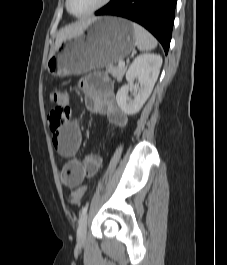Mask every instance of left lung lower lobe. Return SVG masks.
<instances>
[{"label":"left lung lower lobe","instance_id":"left-lung-lower-lobe-1","mask_svg":"<svg viewBox=\"0 0 227 265\" xmlns=\"http://www.w3.org/2000/svg\"><path fill=\"white\" fill-rule=\"evenodd\" d=\"M177 0H112L95 15H114L139 23L162 44L170 46Z\"/></svg>","mask_w":227,"mask_h":265}]
</instances>
